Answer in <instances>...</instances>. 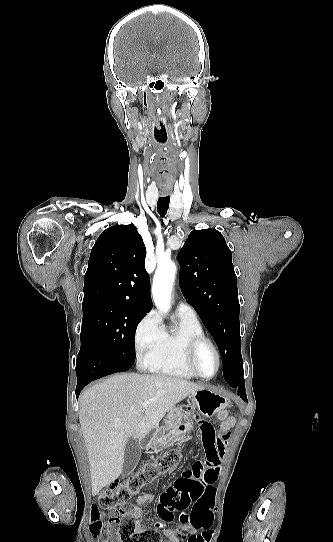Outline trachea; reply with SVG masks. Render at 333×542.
I'll use <instances>...</instances> for the list:
<instances>
[{
	"instance_id": "1",
	"label": "trachea",
	"mask_w": 333,
	"mask_h": 542,
	"mask_svg": "<svg viewBox=\"0 0 333 542\" xmlns=\"http://www.w3.org/2000/svg\"><path fill=\"white\" fill-rule=\"evenodd\" d=\"M170 197H159L157 202V210L161 217H164L168 211Z\"/></svg>"
}]
</instances>
